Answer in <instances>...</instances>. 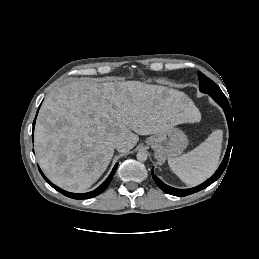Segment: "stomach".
Wrapping results in <instances>:
<instances>
[{
  "label": "stomach",
  "instance_id": "stomach-1",
  "mask_svg": "<svg viewBox=\"0 0 259 259\" xmlns=\"http://www.w3.org/2000/svg\"><path fill=\"white\" fill-rule=\"evenodd\" d=\"M146 143L154 150L155 158L164 161L181 155L188 144V139L179 128L171 127L148 137Z\"/></svg>",
  "mask_w": 259,
  "mask_h": 259
}]
</instances>
